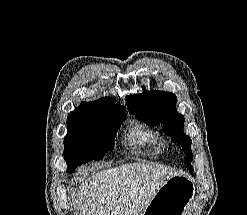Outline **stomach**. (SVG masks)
<instances>
[{"label": "stomach", "mask_w": 247, "mask_h": 215, "mask_svg": "<svg viewBox=\"0 0 247 215\" xmlns=\"http://www.w3.org/2000/svg\"><path fill=\"white\" fill-rule=\"evenodd\" d=\"M194 181L177 175L157 191L141 215H186L196 196Z\"/></svg>", "instance_id": "1"}]
</instances>
